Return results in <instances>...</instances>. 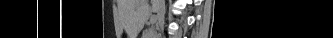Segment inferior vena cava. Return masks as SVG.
Instances as JSON below:
<instances>
[{
  "label": "inferior vena cava",
  "instance_id": "inferior-vena-cava-1",
  "mask_svg": "<svg viewBox=\"0 0 333 38\" xmlns=\"http://www.w3.org/2000/svg\"><path fill=\"white\" fill-rule=\"evenodd\" d=\"M164 15H165V0H158V23L159 26H163L164 24Z\"/></svg>",
  "mask_w": 333,
  "mask_h": 38
}]
</instances>
